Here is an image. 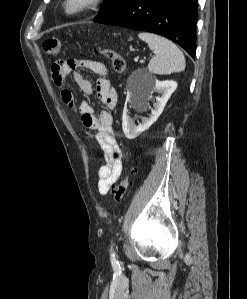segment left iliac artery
Instances as JSON below:
<instances>
[{
  "label": "left iliac artery",
  "mask_w": 247,
  "mask_h": 299,
  "mask_svg": "<svg viewBox=\"0 0 247 299\" xmlns=\"http://www.w3.org/2000/svg\"><path fill=\"white\" fill-rule=\"evenodd\" d=\"M111 263H112L113 266L118 265V261H117V259L115 257V254L113 252L112 246H111Z\"/></svg>",
  "instance_id": "left-iliac-artery-1"
}]
</instances>
